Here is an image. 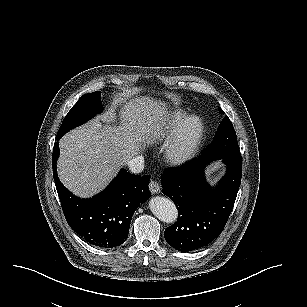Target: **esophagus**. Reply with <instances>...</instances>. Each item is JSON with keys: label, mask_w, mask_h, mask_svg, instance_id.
<instances>
[{"label": "esophagus", "mask_w": 307, "mask_h": 307, "mask_svg": "<svg viewBox=\"0 0 307 307\" xmlns=\"http://www.w3.org/2000/svg\"><path fill=\"white\" fill-rule=\"evenodd\" d=\"M149 189L152 194H159L161 192V187L159 183L155 180H151L149 183Z\"/></svg>", "instance_id": "esophagus-1"}]
</instances>
